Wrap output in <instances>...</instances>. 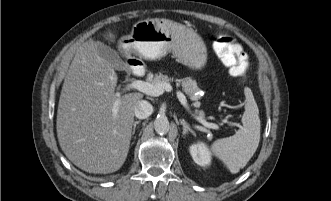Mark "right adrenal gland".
<instances>
[{"label":"right adrenal gland","mask_w":331,"mask_h":201,"mask_svg":"<svg viewBox=\"0 0 331 201\" xmlns=\"http://www.w3.org/2000/svg\"><path fill=\"white\" fill-rule=\"evenodd\" d=\"M139 123H141L140 120H139V121H135V122L133 123V131H132V135L135 134L136 126H137Z\"/></svg>","instance_id":"1"}]
</instances>
